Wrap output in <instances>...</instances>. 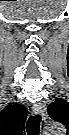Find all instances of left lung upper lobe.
I'll return each mask as SVG.
<instances>
[{
    "instance_id": "1",
    "label": "left lung upper lobe",
    "mask_w": 69,
    "mask_h": 135,
    "mask_svg": "<svg viewBox=\"0 0 69 135\" xmlns=\"http://www.w3.org/2000/svg\"><path fill=\"white\" fill-rule=\"evenodd\" d=\"M50 117L63 124L69 119V103L65 100H56L48 107Z\"/></svg>"
}]
</instances>
